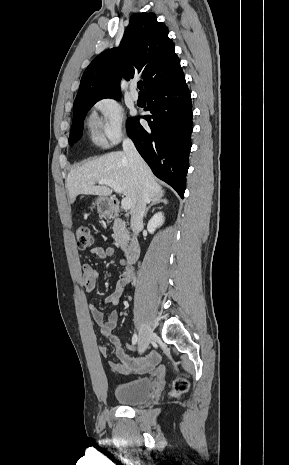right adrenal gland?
<instances>
[{"instance_id":"1","label":"right adrenal gland","mask_w":289,"mask_h":465,"mask_svg":"<svg viewBox=\"0 0 289 465\" xmlns=\"http://www.w3.org/2000/svg\"><path fill=\"white\" fill-rule=\"evenodd\" d=\"M160 203H163V204H167L168 203V200L167 199H160V198H153L152 199V203L148 206V208L146 209V212H145V217L147 216V213L149 211V209L152 207V206H155L157 204H160Z\"/></svg>"}]
</instances>
